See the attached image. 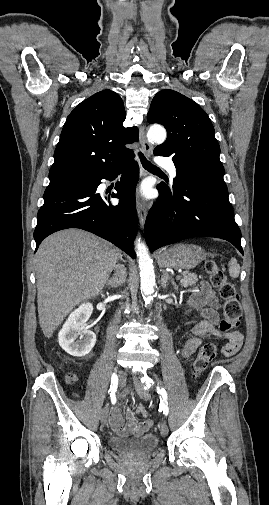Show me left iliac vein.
<instances>
[{"label": "left iliac vein", "mask_w": 269, "mask_h": 505, "mask_svg": "<svg viewBox=\"0 0 269 505\" xmlns=\"http://www.w3.org/2000/svg\"><path fill=\"white\" fill-rule=\"evenodd\" d=\"M134 386L135 389L138 393V395L143 398V399H149L150 394L149 392L145 389L144 385L140 383L137 379H134ZM160 433L163 437L167 436L168 434V426L166 422H162L159 426Z\"/></svg>", "instance_id": "4c4485c4"}]
</instances>
